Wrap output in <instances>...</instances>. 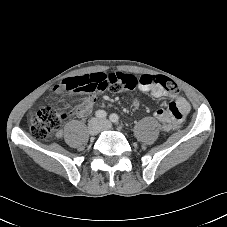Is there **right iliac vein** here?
<instances>
[{"instance_id": "63e3f726", "label": "right iliac vein", "mask_w": 227, "mask_h": 227, "mask_svg": "<svg viewBox=\"0 0 227 227\" xmlns=\"http://www.w3.org/2000/svg\"><path fill=\"white\" fill-rule=\"evenodd\" d=\"M101 124L98 119L94 118L90 120L88 124V132L90 135L95 136L100 132Z\"/></svg>"}]
</instances>
